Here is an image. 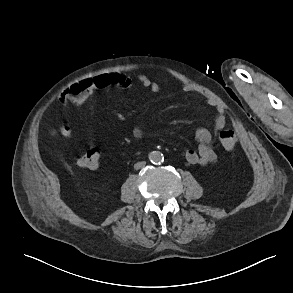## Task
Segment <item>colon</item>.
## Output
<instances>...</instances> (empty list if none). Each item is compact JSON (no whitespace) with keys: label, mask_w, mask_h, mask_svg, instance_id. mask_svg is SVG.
Wrapping results in <instances>:
<instances>
[{"label":"colon","mask_w":293,"mask_h":293,"mask_svg":"<svg viewBox=\"0 0 293 293\" xmlns=\"http://www.w3.org/2000/svg\"><path fill=\"white\" fill-rule=\"evenodd\" d=\"M61 134L64 136H70V127L68 125H63L61 128ZM236 140V134L232 129H225L219 133V141L226 150H232L236 144ZM100 155L99 148L91 146L79 156L77 164L82 168L95 169L99 165Z\"/></svg>","instance_id":"5ec220e1"}]
</instances>
